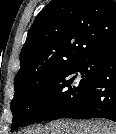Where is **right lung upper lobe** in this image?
I'll use <instances>...</instances> for the list:
<instances>
[{"label": "right lung upper lobe", "mask_w": 116, "mask_h": 134, "mask_svg": "<svg viewBox=\"0 0 116 134\" xmlns=\"http://www.w3.org/2000/svg\"><path fill=\"white\" fill-rule=\"evenodd\" d=\"M116 47L114 0H52L36 16L20 53L15 94Z\"/></svg>", "instance_id": "cb5924a9"}]
</instances>
